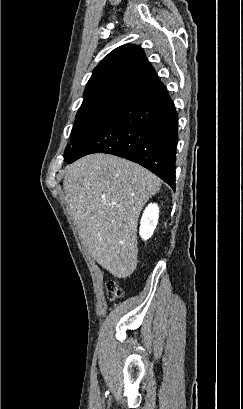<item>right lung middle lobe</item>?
Listing matches in <instances>:
<instances>
[{"label":"right lung middle lobe","instance_id":"obj_1","mask_svg":"<svg viewBox=\"0 0 243 409\" xmlns=\"http://www.w3.org/2000/svg\"><path fill=\"white\" fill-rule=\"evenodd\" d=\"M124 100L102 99L83 102L71 132V145L65 149L64 159L85 139L101 127L118 109Z\"/></svg>","mask_w":243,"mask_h":409}]
</instances>
